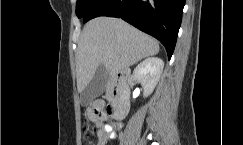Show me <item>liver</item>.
I'll use <instances>...</instances> for the list:
<instances>
[{"label":"liver","mask_w":243,"mask_h":145,"mask_svg":"<svg viewBox=\"0 0 243 145\" xmlns=\"http://www.w3.org/2000/svg\"><path fill=\"white\" fill-rule=\"evenodd\" d=\"M159 52V43L125 21L97 17L80 36L76 52L77 89L81 93L100 65L113 75Z\"/></svg>","instance_id":"6515ba94"}]
</instances>
